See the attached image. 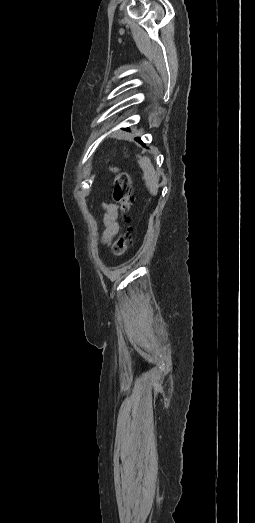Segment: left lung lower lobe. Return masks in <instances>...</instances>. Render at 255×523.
<instances>
[{"label": "left lung lower lobe", "instance_id": "obj_1", "mask_svg": "<svg viewBox=\"0 0 255 523\" xmlns=\"http://www.w3.org/2000/svg\"><path fill=\"white\" fill-rule=\"evenodd\" d=\"M143 137V145H148L149 141L146 140V137H148V134H141V137H137V140H142Z\"/></svg>", "mask_w": 255, "mask_h": 523}]
</instances>
